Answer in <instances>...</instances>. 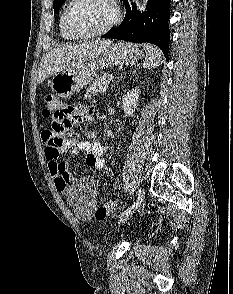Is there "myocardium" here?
Segmentation results:
<instances>
[{"label": "myocardium", "instance_id": "1", "mask_svg": "<svg viewBox=\"0 0 233 294\" xmlns=\"http://www.w3.org/2000/svg\"><path fill=\"white\" fill-rule=\"evenodd\" d=\"M78 1L79 0H71L69 2V4L67 5V7L65 8L64 14H63L64 28L75 39H90V38L102 36V35L106 34L107 32H109L112 28H114L118 24V22L120 21L121 13H120V9H119L117 2L115 0H104L107 4L110 5V7L112 9L111 20L102 29H100L98 31L86 33V34L77 33L71 28V26L69 24V13H70L72 7Z\"/></svg>", "mask_w": 233, "mask_h": 294}]
</instances>
